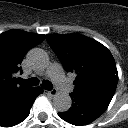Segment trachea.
<instances>
[{
    "mask_svg": "<svg viewBox=\"0 0 128 128\" xmlns=\"http://www.w3.org/2000/svg\"><path fill=\"white\" fill-rule=\"evenodd\" d=\"M19 81L24 84V85H28V86H36L38 85L39 83V80L35 77L33 78H29V79H22V78H19ZM42 87L45 89V90H52L53 88V85L50 81L48 80H44L42 82Z\"/></svg>",
    "mask_w": 128,
    "mask_h": 128,
    "instance_id": "trachea-1",
    "label": "trachea"
}]
</instances>
